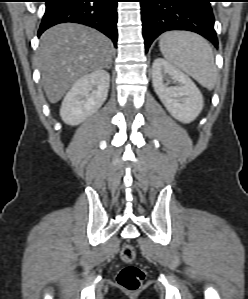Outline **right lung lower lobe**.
Instances as JSON below:
<instances>
[{"instance_id":"1","label":"right lung lower lobe","mask_w":248,"mask_h":299,"mask_svg":"<svg viewBox=\"0 0 248 299\" xmlns=\"http://www.w3.org/2000/svg\"><path fill=\"white\" fill-rule=\"evenodd\" d=\"M118 0H46L38 36L59 23L76 22L93 27L117 44Z\"/></svg>"}]
</instances>
